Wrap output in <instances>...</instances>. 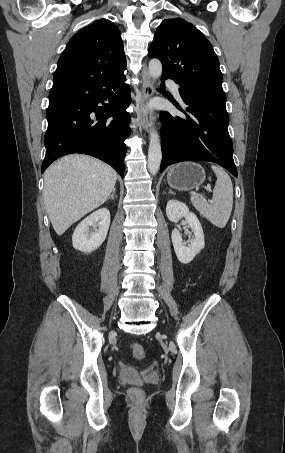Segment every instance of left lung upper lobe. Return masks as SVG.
<instances>
[{
	"mask_svg": "<svg viewBox=\"0 0 285 453\" xmlns=\"http://www.w3.org/2000/svg\"><path fill=\"white\" fill-rule=\"evenodd\" d=\"M148 56L162 62V76L173 79L185 93L226 102L223 76L211 43L191 23L175 18L162 21Z\"/></svg>",
	"mask_w": 285,
	"mask_h": 453,
	"instance_id": "obj_1",
	"label": "left lung upper lobe"
}]
</instances>
